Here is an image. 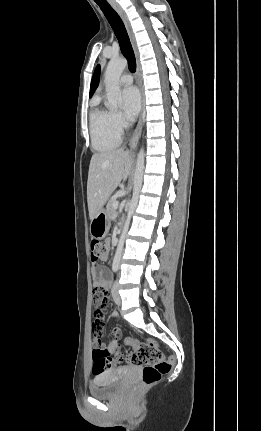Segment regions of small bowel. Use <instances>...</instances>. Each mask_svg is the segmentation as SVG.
I'll return each mask as SVG.
<instances>
[{"label": "small bowel", "instance_id": "c3829d8e", "mask_svg": "<svg viewBox=\"0 0 261 431\" xmlns=\"http://www.w3.org/2000/svg\"><path fill=\"white\" fill-rule=\"evenodd\" d=\"M106 255L102 260L107 259ZM93 273V283H94V290L92 291V303L94 306V312H93V329L92 332L94 334V338L92 340V345L94 346L95 350L102 349L106 350L108 354L110 353H117L119 351V346L117 342V337L120 334V331L118 328L114 327L111 330V334L113 335L114 339L107 345L104 346L101 343V340L103 339V331L106 324L105 315H107V300L108 295L105 290L109 287L112 276L109 272V270L104 266H96L92 270ZM110 360H115L116 367H118V360L110 358Z\"/></svg>", "mask_w": 261, "mask_h": 431}]
</instances>
